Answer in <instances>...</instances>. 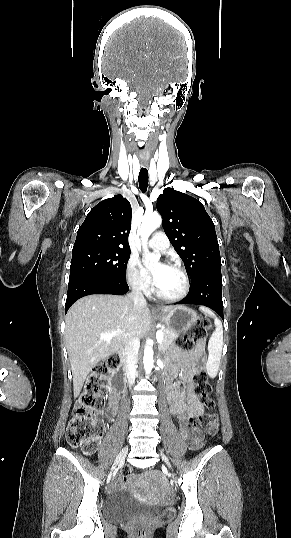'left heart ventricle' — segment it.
<instances>
[{"label": "left heart ventricle", "instance_id": "b2bd125f", "mask_svg": "<svg viewBox=\"0 0 291 538\" xmlns=\"http://www.w3.org/2000/svg\"><path fill=\"white\" fill-rule=\"evenodd\" d=\"M182 276L174 269L167 267L156 284L157 289L165 295H177L183 289Z\"/></svg>", "mask_w": 291, "mask_h": 538}]
</instances>
